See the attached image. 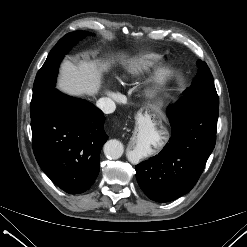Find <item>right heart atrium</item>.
Masks as SVG:
<instances>
[{
	"label": "right heart atrium",
	"instance_id": "d8ad5b80",
	"mask_svg": "<svg viewBox=\"0 0 247 247\" xmlns=\"http://www.w3.org/2000/svg\"><path fill=\"white\" fill-rule=\"evenodd\" d=\"M107 94L112 96V97H117L118 96V94L115 91H112V90H108Z\"/></svg>",
	"mask_w": 247,
	"mask_h": 247
}]
</instances>
